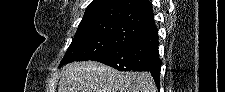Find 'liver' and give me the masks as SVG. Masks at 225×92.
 <instances>
[{
  "mask_svg": "<svg viewBox=\"0 0 225 92\" xmlns=\"http://www.w3.org/2000/svg\"><path fill=\"white\" fill-rule=\"evenodd\" d=\"M58 92H156V85L149 72H119L84 61L62 68Z\"/></svg>",
  "mask_w": 225,
  "mask_h": 92,
  "instance_id": "6515ba94",
  "label": "liver"
}]
</instances>
